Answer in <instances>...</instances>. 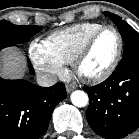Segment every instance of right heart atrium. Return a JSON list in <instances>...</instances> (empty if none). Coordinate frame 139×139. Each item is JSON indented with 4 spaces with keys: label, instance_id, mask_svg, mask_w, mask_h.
<instances>
[{
    "label": "right heart atrium",
    "instance_id": "right-heart-atrium-1",
    "mask_svg": "<svg viewBox=\"0 0 139 139\" xmlns=\"http://www.w3.org/2000/svg\"><path fill=\"white\" fill-rule=\"evenodd\" d=\"M29 56L37 71L44 76L55 77L65 73L64 64L49 51L42 41H33L30 44Z\"/></svg>",
    "mask_w": 139,
    "mask_h": 139
}]
</instances>
